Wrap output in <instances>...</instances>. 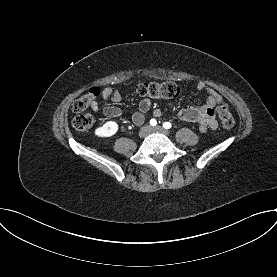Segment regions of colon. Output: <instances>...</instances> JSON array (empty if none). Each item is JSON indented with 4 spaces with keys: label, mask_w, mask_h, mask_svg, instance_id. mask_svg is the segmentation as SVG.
Returning <instances> with one entry per match:
<instances>
[{
    "label": "colon",
    "mask_w": 277,
    "mask_h": 277,
    "mask_svg": "<svg viewBox=\"0 0 277 277\" xmlns=\"http://www.w3.org/2000/svg\"><path fill=\"white\" fill-rule=\"evenodd\" d=\"M136 92L143 97L166 100L177 97L180 90L177 84L166 81L140 84L137 86ZM98 95L99 90L93 88L74 102L72 109L76 113V116L72 124L77 131H87L92 127L94 117L90 113H87L86 110L96 100ZM217 114L224 128L230 129L234 126V117L226 104L218 106Z\"/></svg>",
    "instance_id": "obj_1"
}]
</instances>
